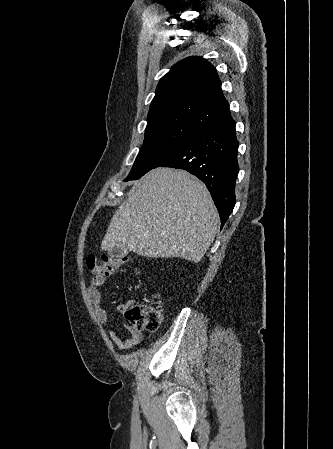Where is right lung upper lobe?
Here are the masks:
<instances>
[{"instance_id":"right-lung-upper-lobe-1","label":"right lung upper lobe","mask_w":333,"mask_h":449,"mask_svg":"<svg viewBox=\"0 0 333 449\" xmlns=\"http://www.w3.org/2000/svg\"><path fill=\"white\" fill-rule=\"evenodd\" d=\"M230 115L216 69L199 56L176 63L157 85L145 132L176 123L205 128Z\"/></svg>"}]
</instances>
